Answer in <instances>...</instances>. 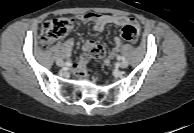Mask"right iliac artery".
I'll return each mask as SVG.
<instances>
[{"label":"right iliac artery","instance_id":"1","mask_svg":"<svg viewBox=\"0 0 194 133\" xmlns=\"http://www.w3.org/2000/svg\"><path fill=\"white\" fill-rule=\"evenodd\" d=\"M67 65H70V62H66Z\"/></svg>","mask_w":194,"mask_h":133}]
</instances>
